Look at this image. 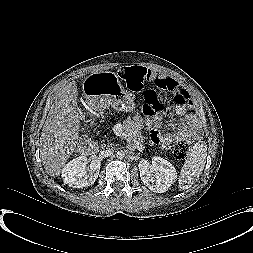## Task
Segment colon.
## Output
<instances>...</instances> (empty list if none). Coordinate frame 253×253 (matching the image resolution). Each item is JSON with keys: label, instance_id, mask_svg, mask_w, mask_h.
I'll use <instances>...</instances> for the list:
<instances>
[{"label": "colon", "instance_id": "colon-1", "mask_svg": "<svg viewBox=\"0 0 253 253\" xmlns=\"http://www.w3.org/2000/svg\"><path fill=\"white\" fill-rule=\"evenodd\" d=\"M120 76L130 91H144V112L150 116H156L163 110V103L159 97L161 91L169 94L172 104L175 106L189 107L191 105L190 96L184 92L183 88L171 87L161 76L144 67H124L120 71ZM193 140L192 134H184L177 138L172 149L174 157L178 160L184 159Z\"/></svg>", "mask_w": 253, "mask_h": 253}]
</instances>
